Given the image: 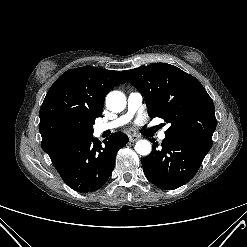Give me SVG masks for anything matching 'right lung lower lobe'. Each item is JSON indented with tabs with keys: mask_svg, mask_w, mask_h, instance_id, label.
<instances>
[{
	"mask_svg": "<svg viewBox=\"0 0 247 247\" xmlns=\"http://www.w3.org/2000/svg\"><path fill=\"white\" fill-rule=\"evenodd\" d=\"M104 145L93 134L78 138L51 159L63 181L78 192H92L110 177L118 150L128 143L127 136L114 133Z\"/></svg>",
	"mask_w": 247,
	"mask_h": 247,
	"instance_id": "obj_1",
	"label": "right lung lower lobe"
}]
</instances>
